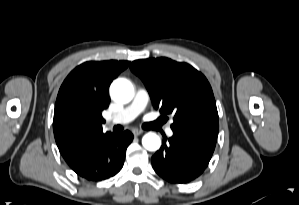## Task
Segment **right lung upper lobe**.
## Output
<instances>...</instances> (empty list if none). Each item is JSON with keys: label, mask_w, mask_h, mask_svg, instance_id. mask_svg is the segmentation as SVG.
<instances>
[{"label": "right lung upper lobe", "mask_w": 299, "mask_h": 205, "mask_svg": "<svg viewBox=\"0 0 299 205\" xmlns=\"http://www.w3.org/2000/svg\"><path fill=\"white\" fill-rule=\"evenodd\" d=\"M129 61L86 62L76 67L60 87L53 130L58 149L71 166L87 148L112 133H103L102 112L109 106L108 88Z\"/></svg>", "instance_id": "obj_1"}]
</instances>
